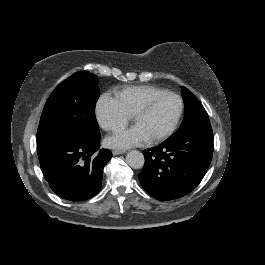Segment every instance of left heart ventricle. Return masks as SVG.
Masks as SVG:
<instances>
[{
  "label": "left heart ventricle",
  "mask_w": 265,
  "mask_h": 265,
  "mask_svg": "<svg viewBox=\"0 0 265 265\" xmlns=\"http://www.w3.org/2000/svg\"><path fill=\"white\" fill-rule=\"evenodd\" d=\"M178 108L179 102L175 97L160 95L143 113L133 116V121L141 126L151 138L175 119Z\"/></svg>",
  "instance_id": "left-heart-ventricle-1"
}]
</instances>
